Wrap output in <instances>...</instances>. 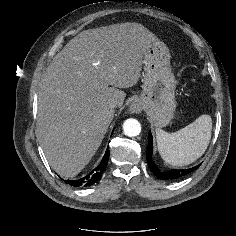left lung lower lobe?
I'll return each mask as SVG.
<instances>
[{
  "label": "left lung lower lobe",
  "mask_w": 236,
  "mask_h": 236,
  "mask_svg": "<svg viewBox=\"0 0 236 236\" xmlns=\"http://www.w3.org/2000/svg\"><path fill=\"white\" fill-rule=\"evenodd\" d=\"M152 154H153V141H152V134H151V132H149V140H148V147H147V151H146V159H147V162H148L151 170L153 171V173L158 178L163 179V180H177V179L182 178L183 176L193 172L194 170H196L200 166V165H197L195 167H192L189 169H182V170L172 169L169 171H162L153 162Z\"/></svg>",
  "instance_id": "1"
}]
</instances>
